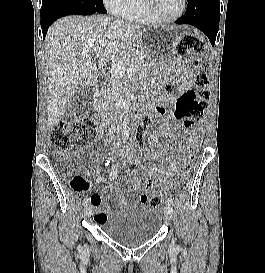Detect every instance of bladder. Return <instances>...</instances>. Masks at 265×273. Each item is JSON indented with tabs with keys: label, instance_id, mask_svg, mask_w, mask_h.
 <instances>
[{
	"label": "bladder",
	"instance_id": "bladder-1",
	"mask_svg": "<svg viewBox=\"0 0 265 273\" xmlns=\"http://www.w3.org/2000/svg\"><path fill=\"white\" fill-rule=\"evenodd\" d=\"M161 225L160 211L145 203L126 206L100 223L108 238L126 247L149 242L158 234Z\"/></svg>",
	"mask_w": 265,
	"mask_h": 273
}]
</instances>
